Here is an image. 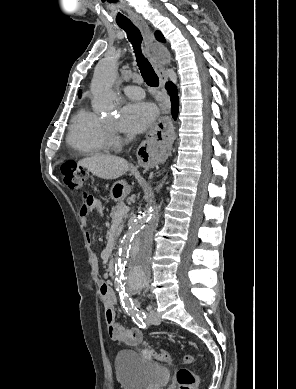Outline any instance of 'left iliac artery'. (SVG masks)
I'll return each mask as SVG.
<instances>
[{
  "instance_id": "1",
  "label": "left iliac artery",
  "mask_w": 296,
  "mask_h": 389,
  "mask_svg": "<svg viewBox=\"0 0 296 389\" xmlns=\"http://www.w3.org/2000/svg\"><path fill=\"white\" fill-rule=\"evenodd\" d=\"M120 296L125 300V303L122 300L123 307L125 308L126 312H128L129 315L132 316L133 321L140 328H146V323L144 322V320L146 319V314L143 311H141L139 309V306L135 305L130 298L128 299V294L125 293V289L124 291H121Z\"/></svg>"
}]
</instances>
